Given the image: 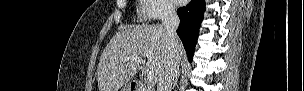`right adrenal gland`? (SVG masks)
Here are the masks:
<instances>
[{
  "mask_svg": "<svg viewBox=\"0 0 304 91\" xmlns=\"http://www.w3.org/2000/svg\"><path fill=\"white\" fill-rule=\"evenodd\" d=\"M177 81H178V78L175 79V81H174V83H173V87L176 86Z\"/></svg>",
  "mask_w": 304,
  "mask_h": 91,
  "instance_id": "right-adrenal-gland-1",
  "label": "right adrenal gland"
}]
</instances>
